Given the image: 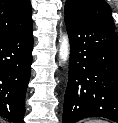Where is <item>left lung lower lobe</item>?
<instances>
[{"instance_id": "obj_1", "label": "left lung lower lobe", "mask_w": 118, "mask_h": 123, "mask_svg": "<svg viewBox=\"0 0 118 123\" xmlns=\"http://www.w3.org/2000/svg\"><path fill=\"white\" fill-rule=\"evenodd\" d=\"M70 40L63 123L104 117L118 123V36L108 26L65 18Z\"/></svg>"}]
</instances>
